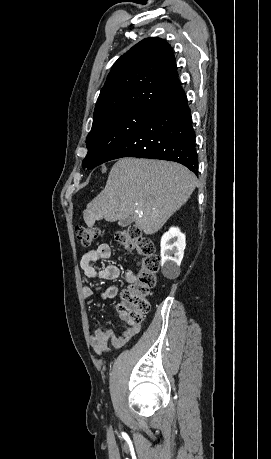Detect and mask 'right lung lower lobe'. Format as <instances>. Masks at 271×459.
Returning <instances> with one entry per match:
<instances>
[{"label":"right lung lower lobe","instance_id":"1","mask_svg":"<svg viewBox=\"0 0 271 459\" xmlns=\"http://www.w3.org/2000/svg\"><path fill=\"white\" fill-rule=\"evenodd\" d=\"M195 131L185 92L156 111L106 159L138 157L175 161L198 175Z\"/></svg>","mask_w":271,"mask_h":459}]
</instances>
